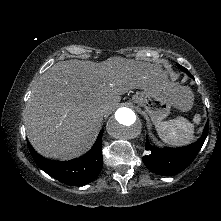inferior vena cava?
Listing matches in <instances>:
<instances>
[{
  "label": "inferior vena cava",
  "instance_id": "inferior-vena-cava-1",
  "mask_svg": "<svg viewBox=\"0 0 221 221\" xmlns=\"http://www.w3.org/2000/svg\"><path fill=\"white\" fill-rule=\"evenodd\" d=\"M106 112H107V108L106 107H103V108L98 110V114L100 116H103Z\"/></svg>",
  "mask_w": 221,
  "mask_h": 221
}]
</instances>
